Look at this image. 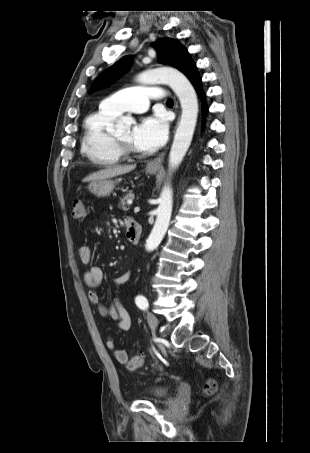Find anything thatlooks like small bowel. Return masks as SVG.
Here are the masks:
<instances>
[{
    "label": "small bowel",
    "instance_id": "c3829d8e",
    "mask_svg": "<svg viewBox=\"0 0 310 453\" xmlns=\"http://www.w3.org/2000/svg\"><path fill=\"white\" fill-rule=\"evenodd\" d=\"M128 221L126 220V224ZM79 259L82 264L88 265L92 260V249L88 245L80 246ZM132 273L126 271L113 278L115 285H123L131 279ZM84 281L89 287L90 291L88 294L90 302L96 306L98 313L103 318H111L117 322V326L120 330L127 331L131 327V317L118 298H115L110 304H104L98 293V288L104 280V275L99 267H90L83 275ZM107 348L113 353L115 360L122 365L128 362V355L126 351L116 347L115 341L112 338H108L106 341Z\"/></svg>",
    "mask_w": 310,
    "mask_h": 453
}]
</instances>
